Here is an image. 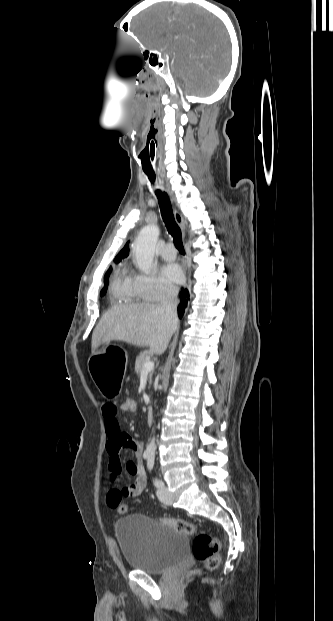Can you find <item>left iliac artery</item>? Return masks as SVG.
I'll return each instance as SVG.
<instances>
[{
  "label": "left iliac artery",
  "instance_id": "1",
  "mask_svg": "<svg viewBox=\"0 0 333 621\" xmlns=\"http://www.w3.org/2000/svg\"><path fill=\"white\" fill-rule=\"evenodd\" d=\"M154 462H155V461H154V456H149V457L147 458V469H148V471H149V472H151V471H152V469H153V467H154ZM153 484H154L157 488L162 487V486L164 485V483H163L161 480L157 479V478H154V479H153Z\"/></svg>",
  "mask_w": 333,
  "mask_h": 621
}]
</instances>
